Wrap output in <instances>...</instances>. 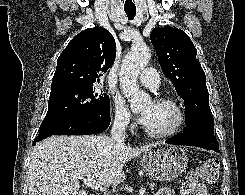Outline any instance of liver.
I'll use <instances>...</instances> for the list:
<instances>
[{"label":"liver","mask_w":245,"mask_h":195,"mask_svg":"<svg viewBox=\"0 0 245 195\" xmlns=\"http://www.w3.org/2000/svg\"><path fill=\"white\" fill-rule=\"evenodd\" d=\"M158 143L132 148L104 135L51 136L38 143L28 168L29 195H88L75 175L104 190L125 180L124 164Z\"/></svg>","instance_id":"6515ba94"}]
</instances>
